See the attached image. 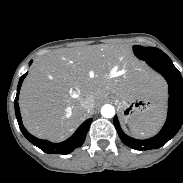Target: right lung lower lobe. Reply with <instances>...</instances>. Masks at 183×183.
Here are the masks:
<instances>
[{
    "label": "right lung lower lobe",
    "mask_w": 183,
    "mask_h": 183,
    "mask_svg": "<svg viewBox=\"0 0 183 183\" xmlns=\"http://www.w3.org/2000/svg\"><path fill=\"white\" fill-rule=\"evenodd\" d=\"M32 62V61H31ZM30 62V64H31ZM27 73H25L23 76H21L18 87H17V94L14 101L15 105V113L16 118L19 124V128L23 135L35 146L40 148L42 151L48 154H68L71 153L74 149L80 147L83 142L85 141L86 134L89 130V126L92 122V118L87 119L84 123L81 124V126L76 130V132L67 140L60 142V143H52L47 140L38 139L35 136L31 135L23 126L21 115L19 111V105H18V98H19V91L22 85V81L26 77Z\"/></svg>",
    "instance_id": "1"
}]
</instances>
